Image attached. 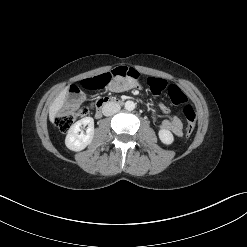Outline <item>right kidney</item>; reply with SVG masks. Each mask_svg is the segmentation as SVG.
Returning <instances> with one entry per match:
<instances>
[{
	"instance_id": "1",
	"label": "right kidney",
	"mask_w": 247,
	"mask_h": 247,
	"mask_svg": "<svg viewBox=\"0 0 247 247\" xmlns=\"http://www.w3.org/2000/svg\"><path fill=\"white\" fill-rule=\"evenodd\" d=\"M87 126L86 132L81 131L82 127ZM81 133L79 134V132ZM94 137V119L85 117L74 123L68 130L65 145L72 151H81L87 147Z\"/></svg>"
}]
</instances>
